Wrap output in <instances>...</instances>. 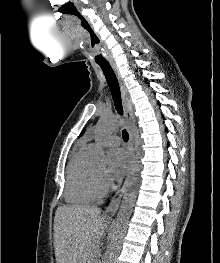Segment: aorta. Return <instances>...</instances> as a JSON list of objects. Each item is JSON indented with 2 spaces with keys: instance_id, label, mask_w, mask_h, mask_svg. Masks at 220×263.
<instances>
[{
  "instance_id": "aorta-1",
  "label": "aorta",
  "mask_w": 220,
  "mask_h": 263,
  "mask_svg": "<svg viewBox=\"0 0 220 263\" xmlns=\"http://www.w3.org/2000/svg\"><path fill=\"white\" fill-rule=\"evenodd\" d=\"M122 125L128 127L132 134L134 140L135 156L126 192L124 193L123 200L118 211L116 222L111 234L107 263H113L116 258V255L120 249L123 234L126 230L128 220L130 218L134 203L136 201L141 170L140 158L142 139L140 136V130L136 126L131 125L129 122H124L117 117H102L99 120L95 130L96 139L98 142H100L108 134H110ZM95 162L98 165H105L107 162V158L101 148L95 156Z\"/></svg>"
}]
</instances>
